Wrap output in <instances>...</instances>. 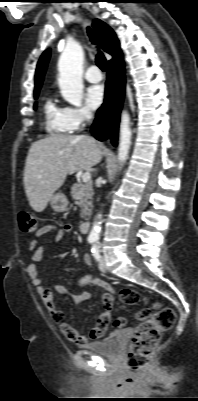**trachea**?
<instances>
[{
    "mask_svg": "<svg viewBox=\"0 0 198 401\" xmlns=\"http://www.w3.org/2000/svg\"><path fill=\"white\" fill-rule=\"evenodd\" d=\"M87 32H88L91 42L93 44H97V38H96V35L94 34V32L90 28H88ZM96 64L102 71H106L107 61H106L104 54L101 51H98V53L96 55Z\"/></svg>",
    "mask_w": 198,
    "mask_h": 401,
    "instance_id": "obj_1",
    "label": "trachea"
}]
</instances>
